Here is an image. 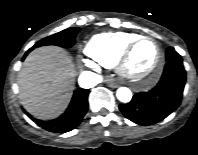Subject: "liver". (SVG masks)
<instances>
[{
  "instance_id": "1",
  "label": "liver",
  "mask_w": 198,
  "mask_h": 155,
  "mask_svg": "<svg viewBox=\"0 0 198 155\" xmlns=\"http://www.w3.org/2000/svg\"><path fill=\"white\" fill-rule=\"evenodd\" d=\"M75 68L59 47H40L25 59L18 75L19 98L27 112L47 120L67 107L74 89Z\"/></svg>"
}]
</instances>
